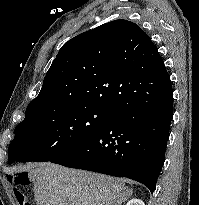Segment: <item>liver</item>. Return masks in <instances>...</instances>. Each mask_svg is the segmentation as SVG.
Masks as SVG:
<instances>
[{
    "instance_id": "liver-1",
    "label": "liver",
    "mask_w": 199,
    "mask_h": 205,
    "mask_svg": "<svg viewBox=\"0 0 199 205\" xmlns=\"http://www.w3.org/2000/svg\"><path fill=\"white\" fill-rule=\"evenodd\" d=\"M37 205H121L132 192L121 179L50 162L33 170Z\"/></svg>"
}]
</instances>
